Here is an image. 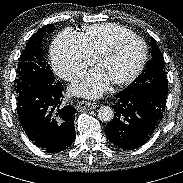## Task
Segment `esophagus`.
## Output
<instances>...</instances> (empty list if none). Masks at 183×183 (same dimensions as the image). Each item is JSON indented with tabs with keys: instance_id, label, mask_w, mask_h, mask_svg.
Instances as JSON below:
<instances>
[{
	"instance_id": "esophagus-1",
	"label": "esophagus",
	"mask_w": 183,
	"mask_h": 183,
	"mask_svg": "<svg viewBox=\"0 0 183 183\" xmlns=\"http://www.w3.org/2000/svg\"><path fill=\"white\" fill-rule=\"evenodd\" d=\"M96 107H97L96 103H91L86 101H79L76 105V108L79 112L95 109Z\"/></svg>"
}]
</instances>
